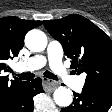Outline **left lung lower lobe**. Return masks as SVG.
Segmentation results:
<instances>
[{
	"label": "left lung lower lobe",
	"instance_id": "obj_1",
	"mask_svg": "<svg viewBox=\"0 0 112 112\" xmlns=\"http://www.w3.org/2000/svg\"><path fill=\"white\" fill-rule=\"evenodd\" d=\"M111 105V92L83 88L80 94L74 92L73 103L61 112H107Z\"/></svg>",
	"mask_w": 112,
	"mask_h": 112
}]
</instances>
